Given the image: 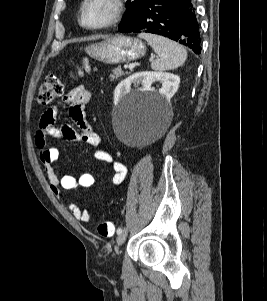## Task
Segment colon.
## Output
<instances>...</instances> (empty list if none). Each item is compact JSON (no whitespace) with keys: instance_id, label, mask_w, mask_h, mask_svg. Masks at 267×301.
<instances>
[{"instance_id":"colon-1","label":"colon","mask_w":267,"mask_h":301,"mask_svg":"<svg viewBox=\"0 0 267 301\" xmlns=\"http://www.w3.org/2000/svg\"><path fill=\"white\" fill-rule=\"evenodd\" d=\"M91 67L87 60L82 62V65L77 68V74L82 75L84 72H89ZM71 77L73 75L71 74ZM65 88L63 79L55 75H49L41 85L38 93V102L41 105L50 104L55 98L62 95ZM97 232L103 237H110L114 234L115 226L111 221L100 220L97 223Z\"/></svg>"}]
</instances>
